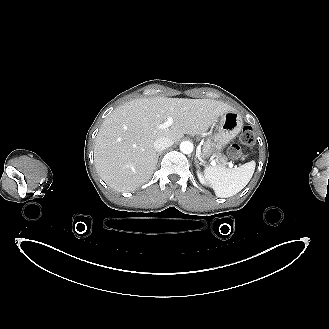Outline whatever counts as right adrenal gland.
<instances>
[{
	"mask_svg": "<svg viewBox=\"0 0 329 329\" xmlns=\"http://www.w3.org/2000/svg\"><path fill=\"white\" fill-rule=\"evenodd\" d=\"M160 154H161V153H158V154H157V161H158V158H159V155H160Z\"/></svg>",
	"mask_w": 329,
	"mask_h": 329,
	"instance_id": "obj_1",
	"label": "right adrenal gland"
}]
</instances>
